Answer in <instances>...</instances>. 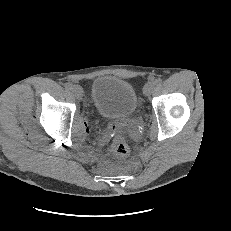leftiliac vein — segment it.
I'll return each mask as SVG.
<instances>
[{
    "mask_svg": "<svg viewBox=\"0 0 231 231\" xmlns=\"http://www.w3.org/2000/svg\"><path fill=\"white\" fill-rule=\"evenodd\" d=\"M155 88L154 82H147L143 88V92L146 96H149L152 94L153 90Z\"/></svg>",
    "mask_w": 231,
    "mask_h": 231,
    "instance_id": "1",
    "label": "left iliac vein"
}]
</instances>
